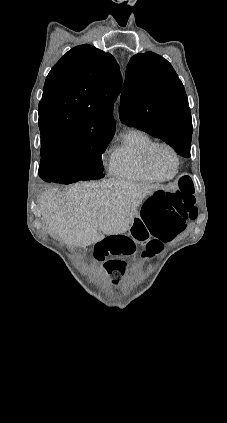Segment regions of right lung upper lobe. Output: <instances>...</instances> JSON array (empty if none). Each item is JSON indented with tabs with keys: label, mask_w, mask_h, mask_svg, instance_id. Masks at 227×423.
Wrapping results in <instances>:
<instances>
[{
	"label": "right lung upper lobe",
	"mask_w": 227,
	"mask_h": 423,
	"mask_svg": "<svg viewBox=\"0 0 227 423\" xmlns=\"http://www.w3.org/2000/svg\"><path fill=\"white\" fill-rule=\"evenodd\" d=\"M122 78L115 58L91 45L68 51L48 74L39 103L41 143L113 135Z\"/></svg>",
	"instance_id": "1"
}]
</instances>
